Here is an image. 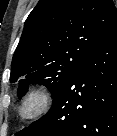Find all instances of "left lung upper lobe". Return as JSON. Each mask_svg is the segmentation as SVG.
Wrapping results in <instances>:
<instances>
[{"mask_svg": "<svg viewBox=\"0 0 117 136\" xmlns=\"http://www.w3.org/2000/svg\"><path fill=\"white\" fill-rule=\"evenodd\" d=\"M117 24L112 0H40L29 14L13 55L10 82L22 97L30 84L54 96Z\"/></svg>", "mask_w": 117, "mask_h": 136, "instance_id": "1", "label": "left lung upper lobe"}]
</instances>
